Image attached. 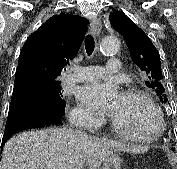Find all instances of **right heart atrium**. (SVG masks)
<instances>
[{"instance_id": "d8ad5b80", "label": "right heart atrium", "mask_w": 177, "mask_h": 169, "mask_svg": "<svg viewBox=\"0 0 177 169\" xmlns=\"http://www.w3.org/2000/svg\"><path fill=\"white\" fill-rule=\"evenodd\" d=\"M70 119L73 124L83 125L87 128H95L102 124L103 120L93 115L90 111L76 107L70 114Z\"/></svg>"}]
</instances>
